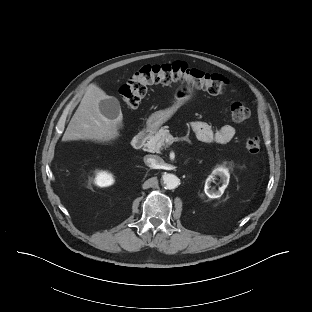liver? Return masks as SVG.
Wrapping results in <instances>:
<instances>
[{
	"mask_svg": "<svg viewBox=\"0 0 312 312\" xmlns=\"http://www.w3.org/2000/svg\"><path fill=\"white\" fill-rule=\"evenodd\" d=\"M109 97L96 84H90L67 126L62 141L91 140L104 143L118 138L120 134L117 122L105 117L99 109L100 101Z\"/></svg>",
	"mask_w": 312,
	"mask_h": 312,
	"instance_id": "6515ba94",
	"label": "liver"
}]
</instances>
